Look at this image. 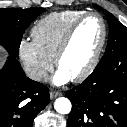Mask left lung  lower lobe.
I'll use <instances>...</instances> for the list:
<instances>
[{"mask_svg": "<svg viewBox=\"0 0 127 127\" xmlns=\"http://www.w3.org/2000/svg\"><path fill=\"white\" fill-rule=\"evenodd\" d=\"M66 96L72 103L67 127H127V47L102 58Z\"/></svg>", "mask_w": 127, "mask_h": 127, "instance_id": "1", "label": "left lung lower lobe"}]
</instances>
